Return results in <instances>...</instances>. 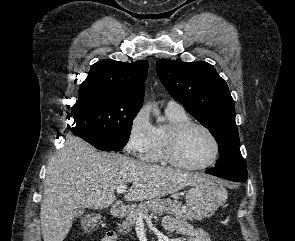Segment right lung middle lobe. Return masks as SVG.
Here are the masks:
<instances>
[{
  "label": "right lung middle lobe",
  "mask_w": 295,
  "mask_h": 241,
  "mask_svg": "<svg viewBox=\"0 0 295 241\" xmlns=\"http://www.w3.org/2000/svg\"><path fill=\"white\" fill-rule=\"evenodd\" d=\"M141 107L106 92H89L72 107L74 123L70 130L99 150H119L128 142L133 119Z\"/></svg>",
  "instance_id": "right-lung-middle-lobe-1"
}]
</instances>
